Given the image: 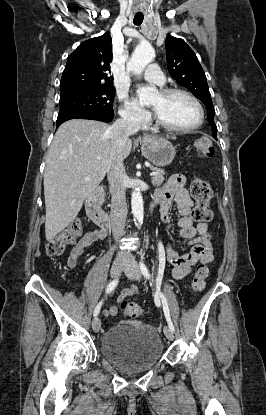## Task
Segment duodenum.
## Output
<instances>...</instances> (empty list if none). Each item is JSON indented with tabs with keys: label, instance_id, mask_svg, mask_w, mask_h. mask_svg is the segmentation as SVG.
<instances>
[{
	"label": "duodenum",
	"instance_id": "1",
	"mask_svg": "<svg viewBox=\"0 0 266 415\" xmlns=\"http://www.w3.org/2000/svg\"><path fill=\"white\" fill-rule=\"evenodd\" d=\"M102 195V187L93 189L86 200V211L93 223L106 231L109 228L110 220L107 212L101 207Z\"/></svg>",
	"mask_w": 266,
	"mask_h": 415
}]
</instances>
